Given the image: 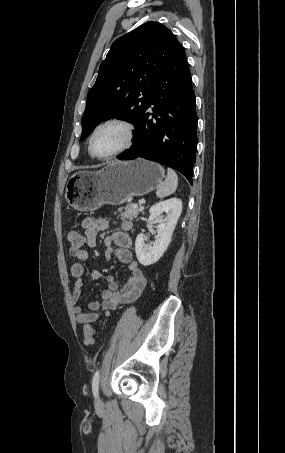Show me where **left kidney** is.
Returning a JSON list of instances; mask_svg holds the SVG:
<instances>
[{"mask_svg": "<svg viewBox=\"0 0 285 453\" xmlns=\"http://www.w3.org/2000/svg\"><path fill=\"white\" fill-rule=\"evenodd\" d=\"M181 212L182 201L178 198L159 202L149 209L150 216L147 222L150 223L154 220L158 222L157 234L152 246H147L144 243V234H139L136 237L135 252L140 264L149 266L161 258L171 242L172 233ZM163 213L167 215L165 219H161Z\"/></svg>", "mask_w": 285, "mask_h": 453, "instance_id": "1", "label": "left kidney"}]
</instances>
